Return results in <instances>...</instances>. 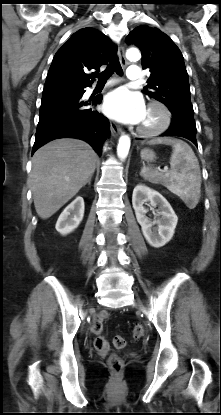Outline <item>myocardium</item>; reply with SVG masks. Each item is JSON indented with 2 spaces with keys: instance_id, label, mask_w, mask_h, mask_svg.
<instances>
[{
  "instance_id": "obj_1",
  "label": "myocardium",
  "mask_w": 221,
  "mask_h": 415,
  "mask_svg": "<svg viewBox=\"0 0 221 415\" xmlns=\"http://www.w3.org/2000/svg\"><path fill=\"white\" fill-rule=\"evenodd\" d=\"M147 109H156L160 114L159 122L153 127L139 126L137 131L141 136L152 137L163 133L171 123L172 115L169 108L160 101H151L147 105Z\"/></svg>"
}]
</instances>
